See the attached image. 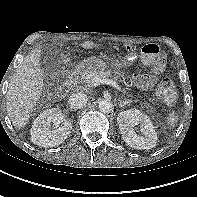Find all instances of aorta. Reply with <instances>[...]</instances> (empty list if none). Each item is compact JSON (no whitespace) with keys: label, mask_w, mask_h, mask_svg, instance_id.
<instances>
[{"label":"aorta","mask_w":197,"mask_h":197,"mask_svg":"<svg viewBox=\"0 0 197 197\" xmlns=\"http://www.w3.org/2000/svg\"><path fill=\"white\" fill-rule=\"evenodd\" d=\"M98 108L102 113H110L113 110V104L110 100H102Z\"/></svg>","instance_id":"1"}]
</instances>
